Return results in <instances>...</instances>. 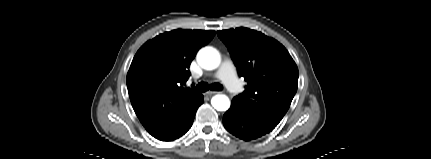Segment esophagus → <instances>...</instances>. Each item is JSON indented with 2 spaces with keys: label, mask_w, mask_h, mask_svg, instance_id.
Wrapping results in <instances>:
<instances>
[{
  "label": "esophagus",
  "mask_w": 431,
  "mask_h": 159,
  "mask_svg": "<svg viewBox=\"0 0 431 159\" xmlns=\"http://www.w3.org/2000/svg\"><path fill=\"white\" fill-rule=\"evenodd\" d=\"M218 92H216V91H208L207 93H206V95L207 96H209V97H211V96H213V95H215V94H217Z\"/></svg>",
  "instance_id": "34e87169"
}]
</instances>
